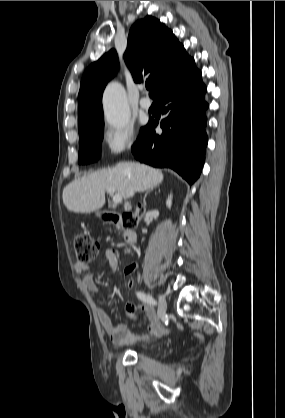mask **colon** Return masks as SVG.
Returning <instances> with one entry per match:
<instances>
[{"instance_id":"obj_1","label":"colon","mask_w":285,"mask_h":418,"mask_svg":"<svg viewBox=\"0 0 285 418\" xmlns=\"http://www.w3.org/2000/svg\"><path fill=\"white\" fill-rule=\"evenodd\" d=\"M140 218L133 214H126L122 217L121 228L129 229L139 223ZM74 248L78 261L86 263L90 261L98 251V244L94 238L87 234H78L74 238Z\"/></svg>"}]
</instances>
